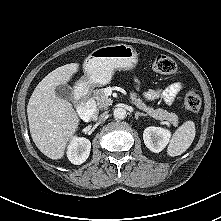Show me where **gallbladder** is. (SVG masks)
Masks as SVG:
<instances>
[{
	"label": "gallbladder",
	"mask_w": 221,
	"mask_h": 221,
	"mask_svg": "<svg viewBox=\"0 0 221 221\" xmlns=\"http://www.w3.org/2000/svg\"><path fill=\"white\" fill-rule=\"evenodd\" d=\"M55 93L57 97L67 101H71L74 99L73 89L67 84L57 86L55 89Z\"/></svg>",
	"instance_id": "bac80fb5"
}]
</instances>
